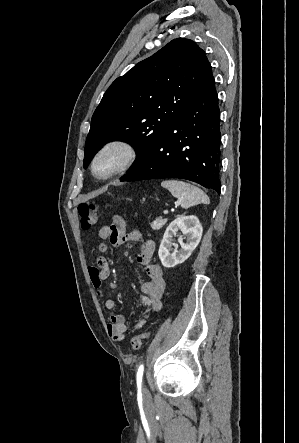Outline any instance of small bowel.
Listing matches in <instances>:
<instances>
[{
  "mask_svg": "<svg viewBox=\"0 0 299 443\" xmlns=\"http://www.w3.org/2000/svg\"><path fill=\"white\" fill-rule=\"evenodd\" d=\"M98 235L103 242L98 246L99 255L96 258L95 265L89 269V276L97 294L100 297H104L102 283L109 278L111 273L109 262L105 257L109 252V244L106 241H109L113 246H121L125 243L139 242L142 240L143 235L138 230L127 234L125 231V221L119 215L112 216L111 223L102 226L98 231ZM154 251L155 243L148 240L142 244L140 252L137 255V261L144 267L149 279L141 285V292L138 296L147 308L146 315L136 323L135 329L143 327L148 318L160 311L162 307L165 278L161 267L151 263ZM104 305L109 311H113L116 308L115 301L110 298L105 299ZM127 330V323L123 315L114 314L110 317V321L107 324V331L113 341H123L126 338Z\"/></svg>",
  "mask_w": 299,
  "mask_h": 443,
  "instance_id": "obj_1",
  "label": "small bowel"
}]
</instances>
